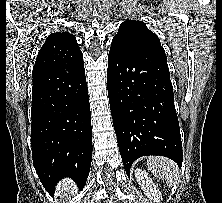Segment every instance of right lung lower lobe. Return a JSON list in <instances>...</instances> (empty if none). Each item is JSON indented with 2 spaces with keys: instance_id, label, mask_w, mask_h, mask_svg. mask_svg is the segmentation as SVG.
I'll return each mask as SVG.
<instances>
[{
  "instance_id": "98d812e1",
  "label": "right lung lower lobe",
  "mask_w": 222,
  "mask_h": 203,
  "mask_svg": "<svg viewBox=\"0 0 222 203\" xmlns=\"http://www.w3.org/2000/svg\"><path fill=\"white\" fill-rule=\"evenodd\" d=\"M31 146L45 189L71 177L82 188L92 161L90 104L83 61L33 70Z\"/></svg>"
}]
</instances>
